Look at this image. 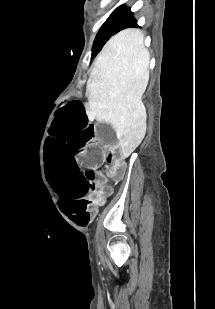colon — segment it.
<instances>
[{"label":"colon","instance_id":"obj_1","mask_svg":"<svg viewBox=\"0 0 215 309\" xmlns=\"http://www.w3.org/2000/svg\"><path fill=\"white\" fill-rule=\"evenodd\" d=\"M100 153L102 156H104V159H105V162L107 164H110V165H114L116 171H120L121 170V166H120V162L117 161V157L114 156L112 153H104L103 155V152L100 150Z\"/></svg>","mask_w":215,"mask_h":309}]
</instances>
